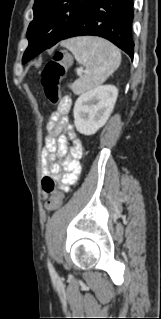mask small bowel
I'll return each mask as SVG.
<instances>
[{"mask_svg":"<svg viewBox=\"0 0 161 319\" xmlns=\"http://www.w3.org/2000/svg\"><path fill=\"white\" fill-rule=\"evenodd\" d=\"M63 102L68 104L70 108V98H65ZM47 128L48 134L45 137V146L42 153L45 165L43 175L57 180L60 179L61 189L67 191L69 186L78 181L81 174L79 158L82 155V142L74 135L73 128L68 122L67 113L63 111L61 105L51 113ZM69 140L72 143L71 147H68ZM56 152L61 157L70 154V159L65 161L63 167L54 161Z\"/></svg>","mask_w":161,"mask_h":319,"instance_id":"obj_1","label":"small bowel"}]
</instances>
